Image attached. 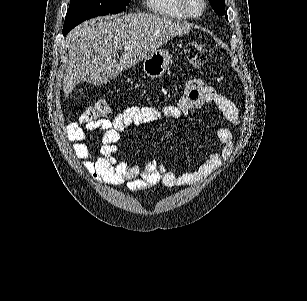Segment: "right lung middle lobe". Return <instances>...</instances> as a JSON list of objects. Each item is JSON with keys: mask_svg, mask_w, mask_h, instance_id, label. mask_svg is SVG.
Masks as SVG:
<instances>
[{"mask_svg": "<svg viewBox=\"0 0 307 301\" xmlns=\"http://www.w3.org/2000/svg\"><path fill=\"white\" fill-rule=\"evenodd\" d=\"M130 0H71L66 14L63 35L86 19L116 14L126 9Z\"/></svg>", "mask_w": 307, "mask_h": 301, "instance_id": "dd1d6c3e", "label": "right lung middle lobe"}]
</instances>
